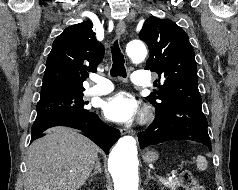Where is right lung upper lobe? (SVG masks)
<instances>
[{
  "instance_id": "obj_1",
  "label": "right lung upper lobe",
  "mask_w": 238,
  "mask_h": 190,
  "mask_svg": "<svg viewBox=\"0 0 238 190\" xmlns=\"http://www.w3.org/2000/svg\"><path fill=\"white\" fill-rule=\"evenodd\" d=\"M91 21L67 27L53 42L46 61L40 99L81 93L88 72H95L104 46L95 38Z\"/></svg>"
}]
</instances>
